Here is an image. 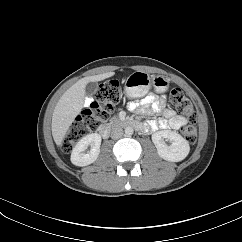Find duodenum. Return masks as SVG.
Listing matches in <instances>:
<instances>
[{"label":"duodenum","instance_id":"1","mask_svg":"<svg viewBox=\"0 0 242 242\" xmlns=\"http://www.w3.org/2000/svg\"><path fill=\"white\" fill-rule=\"evenodd\" d=\"M123 124L126 125V126H130V127H136L137 126V124H135L133 121H129V120L124 121ZM110 131H111L110 126L106 125L101 129L100 135L103 138H107V137H109Z\"/></svg>","mask_w":242,"mask_h":242}]
</instances>
